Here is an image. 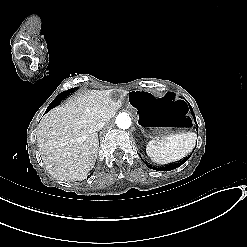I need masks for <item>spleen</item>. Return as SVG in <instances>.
Listing matches in <instances>:
<instances>
[{
    "instance_id": "obj_1",
    "label": "spleen",
    "mask_w": 247,
    "mask_h": 247,
    "mask_svg": "<svg viewBox=\"0 0 247 247\" xmlns=\"http://www.w3.org/2000/svg\"><path fill=\"white\" fill-rule=\"evenodd\" d=\"M197 135L194 132L181 133L151 140L146 153L157 164H167L187 156L195 147Z\"/></svg>"
}]
</instances>
